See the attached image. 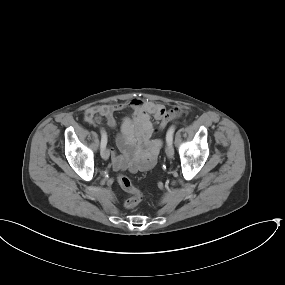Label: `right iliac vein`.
<instances>
[{"label": "right iliac vein", "mask_w": 285, "mask_h": 285, "mask_svg": "<svg viewBox=\"0 0 285 285\" xmlns=\"http://www.w3.org/2000/svg\"><path fill=\"white\" fill-rule=\"evenodd\" d=\"M101 156L104 160H108L109 159V156H110V152H109V149L108 148H103L102 151H101Z\"/></svg>", "instance_id": "obj_1"}]
</instances>
